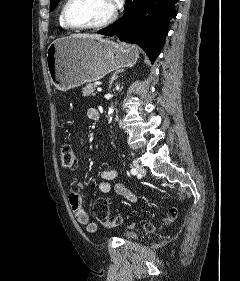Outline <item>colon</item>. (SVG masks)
Returning a JSON list of instances; mask_svg holds the SVG:
<instances>
[{
	"mask_svg": "<svg viewBox=\"0 0 240 281\" xmlns=\"http://www.w3.org/2000/svg\"><path fill=\"white\" fill-rule=\"evenodd\" d=\"M60 164L63 168L74 170L77 166V156L71 145L65 144L60 151ZM92 213L101 224L107 227H114L119 224V218H112L109 212V205L106 199L99 198L92 204ZM176 209L171 208L169 210L166 222H171L176 217ZM146 228L153 229V226L148 224Z\"/></svg>",
	"mask_w": 240,
	"mask_h": 281,
	"instance_id": "colon-1",
	"label": "colon"
}]
</instances>
